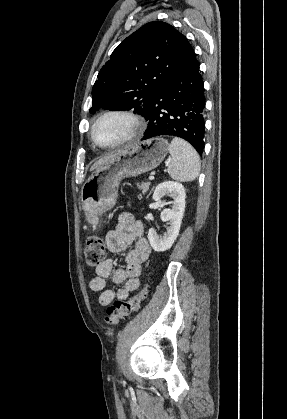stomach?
Here are the masks:
<instances>
[{
    "label": "stomach",
    "mask_w": 287,
    "mask_h": 419,
    "mask_svg": "<svg viewBox=\"0 0 287 419\" xmlns=\"http://www.w3.org/2000/svg\"><path fill=\"white\" fill-rule=\"evenodd\" d=\"M169 143L156 137L127 147L97 168L81 189L86 216L96 219L116 203L118 187L124 178L155 169L166 157Z\"/></svg>",
    "instance_id": "obj_1"
}]
</instances>
